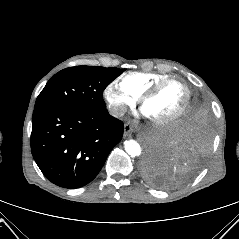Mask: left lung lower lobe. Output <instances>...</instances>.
<instances>
[{"mask_svg": "<svg viewBox=\"0 0 239 239\" xmlns=\"http://www.w3.org/2000/svg\"><path fill=\"white\" fill-rule=\"evenodd\" d=\"M208 111L199 102L159 140L152 143L142 165L146 179L159 188L190 180L201 168L211 143Z\"/></svg>", "mask_w": 239, "mask_h": 239, "instance_id": "obj_1", "label": "left lung lower lobe"}]
</instances>
